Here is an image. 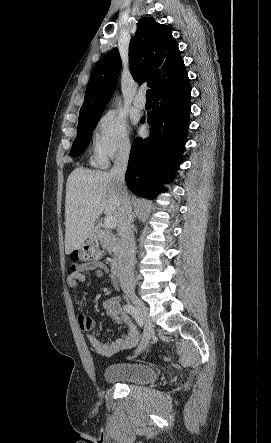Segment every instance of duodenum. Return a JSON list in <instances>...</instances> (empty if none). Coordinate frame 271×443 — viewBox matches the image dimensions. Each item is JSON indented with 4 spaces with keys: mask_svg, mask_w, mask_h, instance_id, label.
Segmentation results:
<instances>
[{
    "mask_svg": "<svg viewBox=\"0 0 271 443\" xmlns=\"http://www.w3.org/2000/svg\"><path fill=\"white\" fill-rule=\"evenodd\" d=\"M96 238H102L103 233L95 231ZM133 259V246L131 242L124 239L119 249L117 257L111 263V271L115 276H121L131 265Z\"/></svg>",
    "mask_w": 271,
    "mask_h": 443,
    "instance_id": "1",
    "label": "duodenum"
}]
</instances>
